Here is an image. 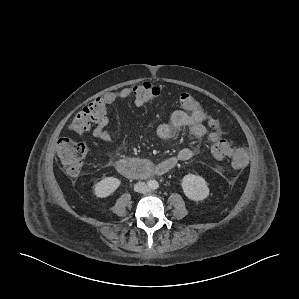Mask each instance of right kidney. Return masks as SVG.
<instances>
[{"mask_svg":"<svg viewBox=\"0 0 299 299\" xmlns=\"http://www.w3.org/2000/svg\"><path fill=\"white\" fill-rule=\"evenodd\" d=\"M121 184L115 177H105L94 185V194L99 198L110 196Z\"/></svg>","mask_w":299,"mask_h":299,"instance_id":"right-kidney-1","label":"right kidney"}]
</instances>
